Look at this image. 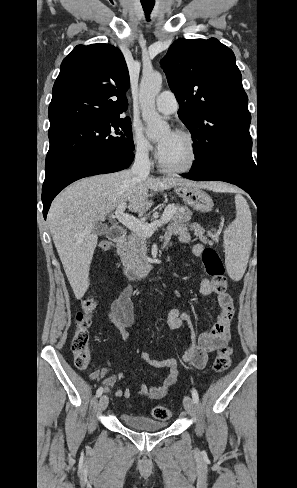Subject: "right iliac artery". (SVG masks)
I'll use <instances>...</instances> for the list:
<instances>
[{
    "mask_svg": "<svg viewBox=\"0 0 297 488\" xmlns=\"http://www.w3.org/2000/svg\"><path fill=\"white\" fill-rule=\"evenodd\" d=\"M102 393H103V388L102 387H99L98 390H97V392H96V396L99 397V396L102 395Z\"/></svg>",
    "mask_w": 297,
    "mask_h": 488,
    "instance_id": "right-iliac-artery-1",
    "label": "right iliac artery"
}]
</instances>
